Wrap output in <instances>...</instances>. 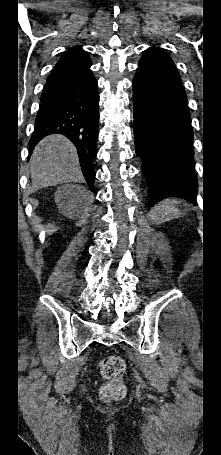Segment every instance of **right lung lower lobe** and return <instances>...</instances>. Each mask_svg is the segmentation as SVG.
<instances>
[{
	"mask_svg": "<svg viewBox=\"0 0 221 455\" xmlns=\"http://www.w3.org/2000/svg\"><path fill=\"white\" fill-rule=\"evenodd\" d=\"M90 66L91 60L81 48L60 58L47 79L29 143L32 151L44 136L65 135L77 148L81 170L92 190L99 95Z\"/></svg>",
	"mask_w": 221,
	"mask_h": 455,
	"instance_id": "right-lung-lower-lobe-1",
	"label": "right lung lower lobe"
}]
</instances>
